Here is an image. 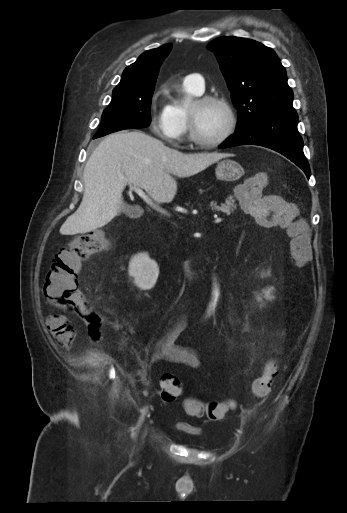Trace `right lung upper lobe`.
<instances>
[{
	"label": "right lung upper lobe",
	"mask_w": 347,
	"mask_h": 513,
	"mask_svg": "<svg viewBox=\"0 0 347 513\" xmlns=\"http://www.w3.org/2000/svg\"><path fill=\"white\" fill-rule=\"evenodd\" d=\"M171 48L172 44H165L141 54L135 63L123 71L121 81L115 89L147 87L155 84L159 68Z\"/></svg>",
	"instance_id": "obj_1"
}]
</instances>
